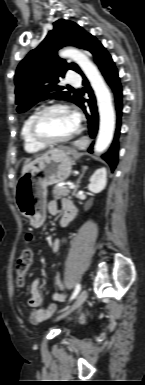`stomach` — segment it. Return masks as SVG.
I'll use <instances>...</instances> for the list:
<instances>
[{
  "instance_id": "obj_1",
  "label": "stomach",
  "mask_w": 145,
  "mask_h": 385,
  "mask_svg": "<svg viewBox=\"0 0 145 385\" xmlns=\"http://www.w3.org/2000/svg\"><path fill=\"white\" fill-rule=\"evenodd\" d=\"M72 164L66 149L54 148L39 157L17 181L16 206L33 227H40L46 219L47 187L65 181Z\"/></svg>"
}]
</instances>
